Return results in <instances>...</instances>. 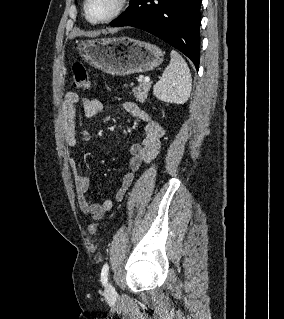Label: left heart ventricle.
I'll use <instances>...</instances> for the list:
<instances>
[{
	"label": "left heart ventricle",
	"instance_id": "left-heart-ventricle-1",
	"mask_svg": "<svg viewBox=\"0 0 284 319\" xmlns=\"http://www.w3.org/2000/svg\"><path fill=\"white\" fill-rule=\"evenodd\" d=\"M117 0H89L88 14L94 20L109 16L115 8Z\"/></svg>",
	"mask_w": 284,
	"mask_h": 319
}]
</instances>
